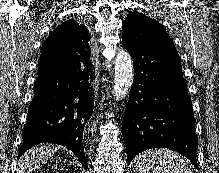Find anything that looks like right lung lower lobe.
<instances>
[{
    "mask_svg": "<svg viewBox=\"0 0 219 173\" xmlns=\"http://www.w3.org/2000/svg\"><path fill=\"white\" fill-rule=\"evenodd\" d=\"M68 56L62 64L40 61L18 158L39 143H57L70 149L87 169L84 139L94 108V67L83 55Z\"/></svg>",
    "mask_w": 219,
    "mask_h": 173,
    "instance_id": "1",
    "label": "right lung lower lobe"
}]
</instances>
